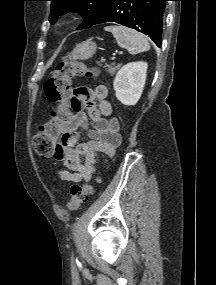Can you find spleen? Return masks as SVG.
I'll return each instance as SVG.
<instances>
[{
  "label": "spleen",
  "instance_id": "1",
  "mask_svg": "<svg viewBox=\"0 0 216 285\" xmlns=\"http://www.w3.org/2000/svg\"><path fill=\"white\" fill-rule=\"evenodd\" d=\"M105 31L111 32L116 39L117 44L120 47L127 49L132 55L150 49V44L144 35L133 29L123 26H108L105 27Z\"/></svg>",
  "mask_w": 216,
  "mask_h": 285
}]
</instances>
